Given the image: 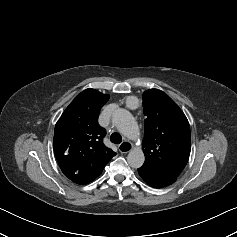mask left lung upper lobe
<instances>
[{
	"label": "left lung upper lobe",
	"instance_id": "1",
	"mask_svg": "<svg viewBox=\"0 0 237 237\" xmlns=\"http://www.w3.org/2000/svg\"><path fill=\"white\" fill-rule=\"evenodd\" d=\"M143 111L146 116L143 167L177 178L187 164L191 150L186 116L167 94L158 89L143 93Z\"/></svg>",
	"mask_w": 237,
	"mask_h": 237
}]
</instances>
